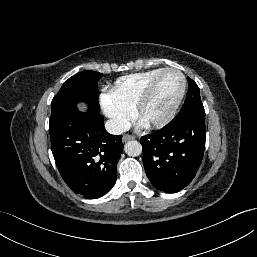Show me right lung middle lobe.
<instances>
[{
    "instance_id": "right-lung-middle-lobe-1",
    "label": "right lung middle lobe",
    "mask_w": 257,
    "mask_h": 257,
    "mask_svg": "<svg viewBox=\"0 0 257 257\" xmlns=\"http://www.w3.org/2000/svg\"><path fill=\"white\" fill-rule=\"evenodd\" d=\"M102 75L95 71H83L70 77L52 100L50 124L65 114L77 110L76 104L80 101L88 104L89 113L98 114L100 107L97 82Z\"/></svg>"
}]
</instances>
